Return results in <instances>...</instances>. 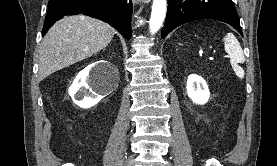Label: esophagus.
Instances as JSON below:
<instances>
[{
	"label": "esophagus",
	"instance_id": "obj_1",
	"mask_svg": "<svg viewBox=\"0 0 277 166\" xmlns=\"http://www.w3.org/2000/svg\"><path fill=\"white\" fill-rule=\"evenodd\" d=\"M135 3L138 2H145V3H149L151 0H133Z\"/></svg>",
	"mask_w": 277,
	"mask_h": 166
}]
</instances>
